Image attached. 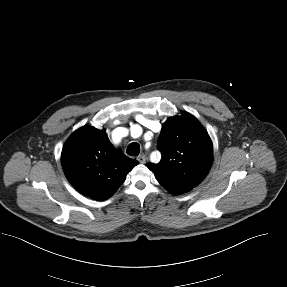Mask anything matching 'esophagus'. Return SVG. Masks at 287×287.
Returning a JSON list of instances; mask_svg holds the SVG:
<instances>
[{
	"instance_id": "obj_1",
	"label": "esophagus",
	"mask_w": 287,
	"mask_h": 287,
	"mask_svg": "<svg viewBox=\"0 0 287 287\" xmlns=\"http://www.w3.org/2000/svg\"><path fill=\"white\" fill-rule=\"evenodd\" d=\"M137 160H138L140 163L144 164V163L146 162V157H145V155L141 154V155H139V156L137 157Z\"/></svg>"
}]
</instances>
